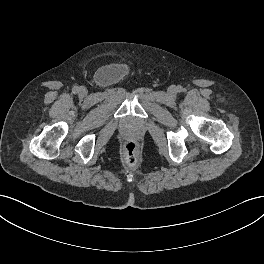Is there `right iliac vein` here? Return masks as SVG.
Wrapping results in <instances>:
<instances>
[{"label":"right iliac vein","mask_w":264,"mask_h":264,"mask_svg":"<svg viewBox=\"0 0 264 264\" xmlns=\"http://www.w3.org/2000/svg\"><path fill=\"white\" fill-rule=\"evenodd\" d=\"M79 92L81 95H86L87 94V90L84 87L79 88Z\"/></svg>","instance_id":"obj_1"}]
</instances>
